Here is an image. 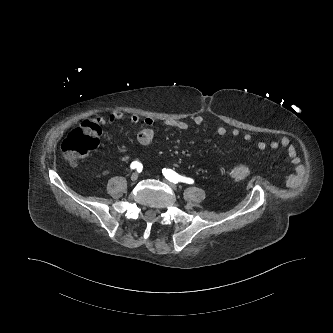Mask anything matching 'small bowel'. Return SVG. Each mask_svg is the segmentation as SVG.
Here are the masks:
<instances>
[{"instance_id": "c3829d8e", "label": "small bowel", "mask_w": 333, "mask_h": 333, "mask_svg": "<svg viewBox=\"0 0 333 333\" xmlns=\"http://www.w3.org/2000/svg\"><path fill=\"white\" fill-rule=\"evenodd\" d=\"M122 116L123 115L121 112H113L110 116V119L112 122H116V121H119L122 118ZM130 121L133 124H137V123H139L140 118L137 115H132L130 117ZM142 122H143L144 127L138 132L137 141L139 144H141L143 146H147V145L151 144L154 139L153 126H154L155 120L151 117H145L142 120ZM203 122H204V117L202 115H196L193 119V123L195 126H201L203 124ZM165 124L169 128H173V129L181 130V131L188 129L190 126V123L185 120H176V121L168 120L165 122ZM215 131L220 136H223L228 132L227 128L223 125H217L215 127ZM229 132L233 137H238L241 135L240 130L237 128H233ZM242 138L244 141L248 142L252 139V136L249 133H245L242 135ZM256 146L259 149L263 150L267 147V143L264 140H258L256 142ZM269 146L272 149H278L279 147H282L286 151L288 159H289L290 163L294 166V169L296 172V174L292 175L289 180L290 183H294L296 181L297 176L302 173V163H301V159L297 155L296 149H295L294 145L292 144V142L290 141V139L287 136H283L280 138V140L271 141L269 143ZM91 174L98 175L99 172L93 170V171H91Z\"/></svg>"}]
</instances>
